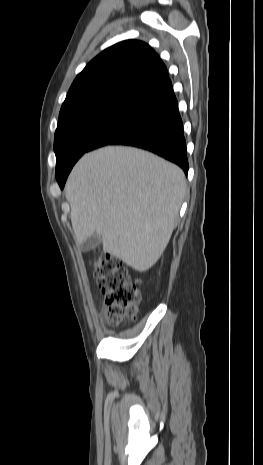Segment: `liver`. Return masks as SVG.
<instances>
[{
	"label": "liver",
	"instance_id": "liver-1",
	"mask_svg": "<svg viewBox=\"0 0 263 465\" xmlns=\"http://www.w3.org/2000/svg\"><path fill=\"white\" fill-rule=\"evenodd\" d=\"M185 193V175L178 166L124 146L85 154L65 187L76 243L97 233L104 252L139 272L164 252Z\"/></svg>",
	"mask_w": 263,
	"mask_h": 465
}]
</instances>
